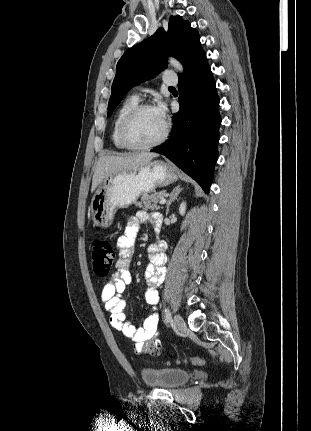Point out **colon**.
Segmentation results:
<instances>
[{"label":"colon","instance_id":"1","mask_svg":"<svg viewBox=\"0 0 311 431\" xmlns=\"http://www.w3.org/2000/svg\"><path fill=\"white\" fill-rule=\"evenodd\" d=\"M91 260L95 274L101 277L106 276L110 272L115 260V253L112 245L106 240L94 241L91 248ZM137 348L138 350H142L150 354H158L160 351V344L157 341H152L146 344H141ZM176 362L201 366L205 363V360L202 357H190Z\"/></svg>","mask_w":311,"mask_h":431}]
</instances>
